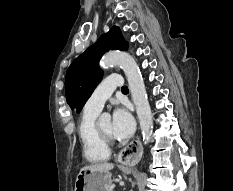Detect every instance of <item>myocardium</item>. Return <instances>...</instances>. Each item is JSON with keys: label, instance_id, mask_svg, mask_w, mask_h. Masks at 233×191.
<instances>
[{"label": "myocardium", "instance_id": "f54148a6", "mask_svg": "<svg viewBox=\"0 0 233 191\" xmlns=\"http://www.w3.org/2000/svg\"><path fill=\"white\" fill-rule=\"evenodd\" d=\"M96 131H97L98 136L103 142H105L107 145H110L112 143V136L104 133L101 130L98 123H96Z\"/></svg>", "mask_w": 233, "mask_h": 191}]
</instances>
